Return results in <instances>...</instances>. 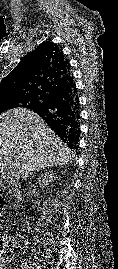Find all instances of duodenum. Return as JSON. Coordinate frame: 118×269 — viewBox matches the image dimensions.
Segmentation results:
<instances>
[{"mask_svg": "<svg viewBox=\"0 0 118 269\" xmlns=\"http://www.w3.org/2000/svg\"><path fill=\"white\" fill-rule=\"evenodd\" d=\"M2 184V178H1V176H0V185Z\"/></svg>", "mask_w": 118, "mask_h": 269, "instance_id": "1", "label": "duodenum"}]
</instances>
